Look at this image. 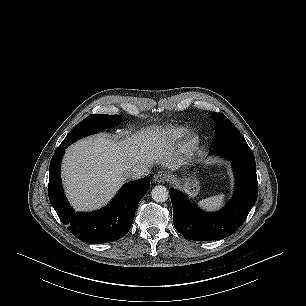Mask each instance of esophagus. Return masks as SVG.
Segmentation results:
<instances>
[{
    "instance_id": "obj_1",
    "label": "esophagus",
    "mask_w": 306,
    "mask_h": 306,
    "mask_svg": "<svg viewBox=\"0 0 306 306\" xmlns=\"http://www.w3.org/2000/svg\"><path fill=\"white\" fill-rule=\"evenodd\" d=\"M167 179H168V175L163 170L158 171L154 176V181L158 183H163L167 181Z\"/></svg>"
}]
</instances>
